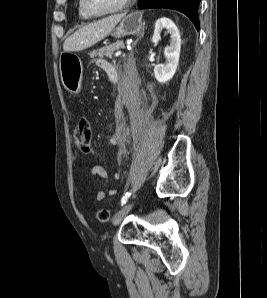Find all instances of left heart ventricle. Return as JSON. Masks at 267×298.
Here are the masks:
<instances>
[{
	"label": "left heart ventricle",
	"mask_w": 267,
	"mask_h": 298,
	"mask_svg": "<svg viewBox=\"0 0 267 298\" xmlns=\"http://www.w3.org/2000/svg\"><path fill=\"white\" fill-rule=\"evenodd\" d=\"M123 0H85L87 8L94 13H104L116 9Z\"/></svg>",
	"instance_id": "b2bd125f"
}]
</instances>
